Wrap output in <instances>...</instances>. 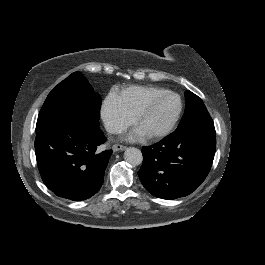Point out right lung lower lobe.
<instances>
[{"label": "right lung lower lobe", "instance_id": "1", "mask_svg": "<svg viewBox=\"0 0 265 265\" xmlns=\"http://www.w3.org/2000/svg\"><path fill=\"white\" fill-rule=\"evenodd\" d=\"M106 141L99 125L59 115L36 130L35 153L44 184L57 196L81 201L103 184L111 150L98 153Z\"/></svg>", "mask_w": 265, "mask_h": 265}]
</instances>
